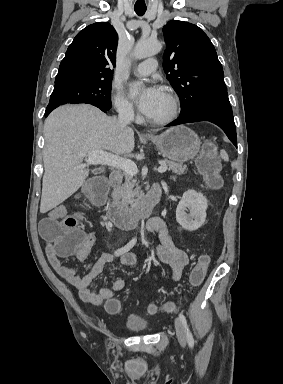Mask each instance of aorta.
Here are the masks:
<instances>
[{
  "label": "aorta",
  "instance_id": "1",
  "mask_svg": "<svg viewBox=\"0 0 283 384\" xmlns=\"http://www.w3.org/2000/svg\"><path fill=\"white\" fill-rule=\"evenodd\" d=\"M161 49L162 45L159 41L151 39H141L138 41L134 48L133 57H135L136 59L147 58L159 53Z\"/></svg>",
  "mask_w": 283,
  "mask_h": 384
}]
</instances>
